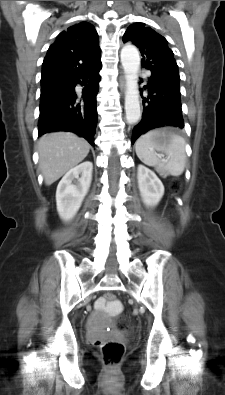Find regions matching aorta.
<instances>
[{"mask_svg": "<svg viewBox=\"0 0 225 395\" xmlns=\"http://www.w3.org/2000/svg\"><path fill=\"white\" fill-rule=\"evenodd\" d=\"M121 63L126 78L125 112L129 124L137 123L141 118L138 90V72L140 55L133 45H125L121 50Z\"/></svg>", "mask_w": 225, "mask_h": 395, "instance_id": "762f6f07", "label": "aorta"}]
</instances>
